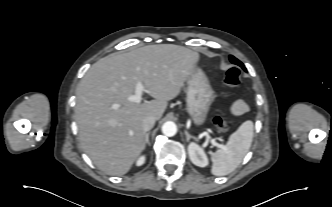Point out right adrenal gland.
<instances>
[{"label":"right adrenal gland","instance_id":"2a0ac1e0","mask_svg":"<svg viewBox=\"0 0 332 207\" xmlns=\"http://www.w3.org/2000/svg\"><path fill=\"white\" fill-rule=\"evenodd\" d=\"M149 135H150V132L146 133L145 134V139H146V144L150 146Z\"/></svg>","mask_w":332,"mask_h":207}]
</instances>
